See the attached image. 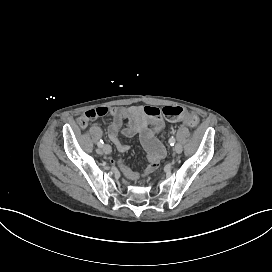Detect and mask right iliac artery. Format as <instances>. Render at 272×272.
<instances>
[{
    "label": "right iliac artery",
    "mask_w": 272,
    "mask_h": 272,
    "mask_svg": "<svg viewBox=\"0 0 272 272\" xmlns=\"http://www.w3.org/2000/svg\"><path fill=\"white\" fill-rule=\"evenodd\" d=\"M103 144H104L103 140H100V141L98 142V147L102 148Z\"/></svg>",
    "instance_id": "right-iliac-artery-1"
}]
</instances>
